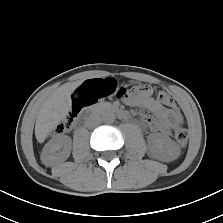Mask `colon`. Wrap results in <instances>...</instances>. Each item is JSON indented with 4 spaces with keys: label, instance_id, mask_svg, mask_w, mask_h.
<instances>
[{
    "label": "colon",
    "instance_id": "obj_1",
    "mask_svg": "<svg viewBox=\"0 0 223 223\" xmlns=\"http://www.w3.org/2000/svg\"><path fill=\"white\" fill-rule=\"evenodd\" d=\"M129 88L125 86H117L112 78L105 80H88L80 86L73 98V107L67 117L56 128L57 134H62L69 130L78 116L80 111L86 107L96 103L99 99L115 95L118 98L125 99L128 96ZM158 101L162 105H173V99L165 92L158 94ZM175 138L181 148H185L188 142V134L185 128L177 126L174 130Z\"/></svg>",
    "mask_w": 223,
    "mask_h": 223
}]
</instances>
